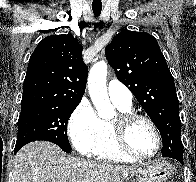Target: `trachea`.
<instances>
[{"instance_id": "trachea-1", "label": "trachea", "mask_w": 196, "mask_h": 182, "mask_svg": "<svg viewBox=\"0 0 196 182\" xmlns=\"http://www.w3.org/2000/svg\"><path fill=\"white\" fill-rule=\"evenodd\" d=\"M92 9L95 17H98L101 13L102 7L92 6Z\"/></svg>"}]
</instances>
